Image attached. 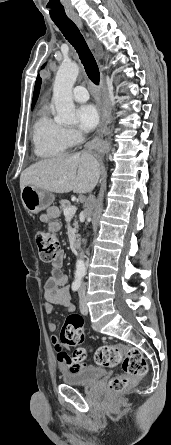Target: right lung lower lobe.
<instances>
[{
    "label": "right lung lower lobe",
    "instance_id": "98d812e1",
    "mask_svg": "<svg viewBox=\"0 0 171 445\" xmlns=\"http://www.w3.org/2000/svg\"><path fill=\"white\" fill-rule=\"evenodd\" d=\"M92 147L94 148V151H95L96 153H98V154H102V153H104L105 150H106V147H105L104 144L94 143V144L92 145Z\"/></svg>",
    "mask_w": 171,
    "mask_h": 445
}]
</instances>
